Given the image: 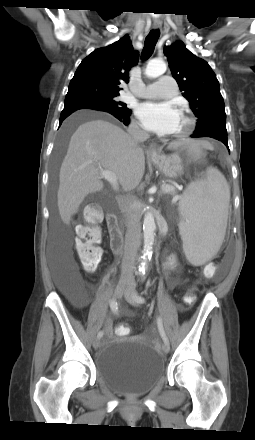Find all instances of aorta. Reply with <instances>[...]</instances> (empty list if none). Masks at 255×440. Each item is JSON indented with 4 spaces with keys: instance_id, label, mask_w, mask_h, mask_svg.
<instances>
[{
    "instance_id": "762f6f07",
    "label": "aorta",
    "mask_w": 255,
    "mask_h": 440,
    "mask_svg": "<svg viewBox=\"0 0 255 440\" xmlns=\"http://www.w3.org/2000/svg\"><path fill=\"white\" fill-rule=\"evenodd\" d=\"M167 69L166 63L163 60L154 59L149 61L146 66L145 74L150 78H156L164 74ZM156 224L152 213H147L143 221V251L141 257L140 271L145 272L148 261L152 256V249L155 238Z\"/></svg>"
}]
</instances>
